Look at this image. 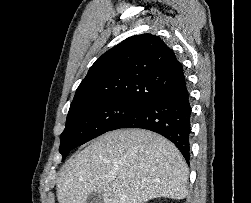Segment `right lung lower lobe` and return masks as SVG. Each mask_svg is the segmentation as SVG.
Instances as JSON below:
<instances>
[{"label":"right lung lower lobe","instance_id":"98d812e1","mask_svg":"<svg viewBox=\"0 0 251 203\" xmlns=\"http://www.w3.org/2000/svg\"><path fill=\"white\" fill-rule=\"evenodd\" d=\"M121 128H142L161 134L175 144L189 163L191 106L186 81L144 104L112 130Z\"/></svg>","mask_w":251,"mask_h":203}]
</instances>
